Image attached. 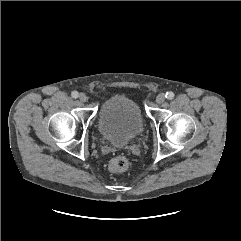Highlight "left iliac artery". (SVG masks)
<instances>
[{
	"mask_svg": "<svg viewBox=\"0 0 241 241\" xmlns=\"http://www.w3.org/2000/svg\"><path fill=\"white\" fill-rule=\"evenodd\" d=\"M165 97L168 99V100H172L174 98V93L169 91L165 94Z\"/></svg>",
	"mask_w": 241,
	"mask_h": 241,
	"instance_id": "44dca946",
	"label": "left iliac artery"
}]
</instances>
